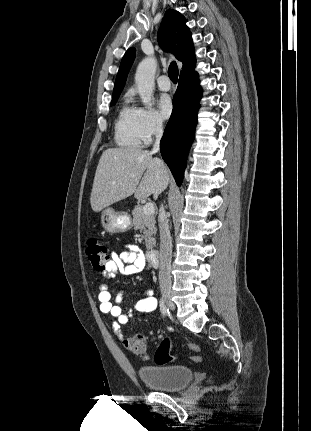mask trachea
I'll list each match as a JSON object with an SVG mask.
<instances>
[{"label": "trachea", "mask_w": 311, "mask_h": 431, "mask_svg": "<svg viewBox=\"0 0 311 431\" xmlns=\"http://www.w3.org/2000/svg\"><path fill=\"white\" fill-rule=\"evenodd\" d=\"M168 76L173 83H177L178 81V66L176 62H171L168 69Z\"/></svg>", "instance_id": "3493384b"}]
</instances>
